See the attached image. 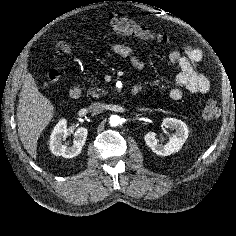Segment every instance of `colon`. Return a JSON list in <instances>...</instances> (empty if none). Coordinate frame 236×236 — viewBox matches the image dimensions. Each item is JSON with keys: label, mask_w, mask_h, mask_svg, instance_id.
<instances>
[{"label": "colon", "mask_w": 236, "mask_h": 236, "mask_svg": "<svg viewBox=\"0 0 236 236\" xmlns=\"http://www.w3.org/2000/svg\"><path fill=\"white\" fill-rule=\"evenodd\" d=\"M108 23L112 31L118 34L133 37L138 40H157L165 41L166 38L162 35H156L146 27L136 23L128 16L121 13H112L108 17ZM56 51L60 55H69L72 52V46L68 41L58 40L56 42ZM61 77V72L58 69L50 70L47 73L44 85L56 82ZM220 109L218 104L209 100L205 103L202 109V117L206 120H212L219 116Z\"/></svg>", "instance_id": "1"}]
</instances>
